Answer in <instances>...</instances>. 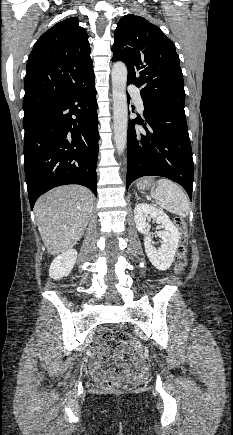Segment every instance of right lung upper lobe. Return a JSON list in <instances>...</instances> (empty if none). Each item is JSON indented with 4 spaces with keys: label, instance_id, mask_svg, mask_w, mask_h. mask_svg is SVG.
Here are the masks:
<instances>
[{
    "label": "right lung upper lobe",
    "instance_id": "right-lung-upper-lobe-1",
    "mask_svg": "<svg viewBox=\"0 0 233 435\" xmlns=\"http://www.w3.org/2000/svg\"><path fill=\"white\" fill-rule=\"evenodd\" d=\"M88 35L75 17L46 31L29 55L24 116L64 97L94 74Z\"/></svg>",
    "mask_w": 233,
    "mask_h": 435
}]
</instances>
